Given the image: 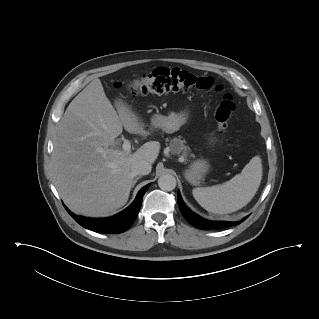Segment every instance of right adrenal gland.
Segmentation results:
<instances>
[{"label":"right adrenal gland","instance_id":"obj_1","mask_svg":"<svg viewBox=\"0 0 319 319\" xmlns=\"http://www.w3.org/2000/svg\"><path fill=\"white\" fill-rule=\"evenodd\" d=\"M141 178V176H138L134 179L133 184H132V188L135 186L137 180H139Z\"/></svg>","mask_w":319,"mask_h":319}]
</instances>
